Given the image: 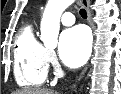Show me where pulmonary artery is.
Here are the masks:
<instances>
[{
    "instance_id": "obj_1",
    "label": "pulmonary artery",
    "mask_w": 121,
    "mask_h": 94,
    "mask_svg": "<svg viewBox=\"0 0 121 94\" xmlns=\"http://www.w3.org/2000/svg\"><path fill=\"white\" fill-rule=\"evenodd\" d=\"M61 22L63 25L65 26H70L72 24H74L75 22V17L72 13L70 12H66L62 15L61 17Z\"/></svg>"
}]
</instances>
